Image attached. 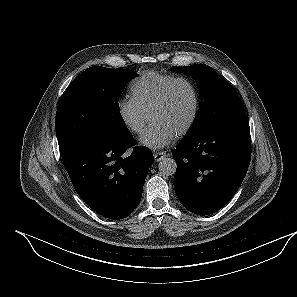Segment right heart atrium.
<instances>
[{
  "instance_id": "1",
  "label": "right heart atrium",
  "mask_w": 297,
  "mask_h": 297,
  "mask_svg": "<svg viewBox=\"0 0 297 297\" xmlns=\"http://www.w3.org/2000/svg\"><path fill=\"white\" fill-rule=\"evenodd\" d=\"M117 114L123 126L133 134H141L148 114L132 97H122L117 102Z\"/></svg>"
}]
</instances>
